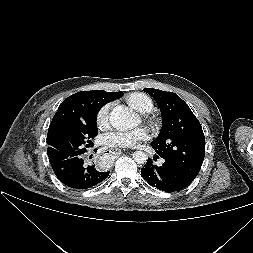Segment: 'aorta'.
Here are the masks:
<instances>
[{"instance_id":"762f6f07","label":"aorta","mask_w":253,"mask_h":253,"mask_svg":"<svg viewBox=\"0 0 253 253\" xmlns=\"http://www.w3.org/2000/svg\"><path fill=\"white\" fill-rule=\"evenodd\" d=\"M109 120L111 125L118 130L132 129L139 123L137 114L122 106L115 107L112 110ZM133 159L137 164H144L147 161V155L142 151H135Z\"/></svg>"}]
</instances>
